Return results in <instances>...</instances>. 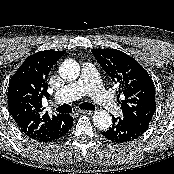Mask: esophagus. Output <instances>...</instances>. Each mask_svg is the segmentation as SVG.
Listing matches in <instances>:
<instances>
[{"label": "esophagus", "mask_w": 174, "mask_h": 174, "mask_svg": "<svg viewBox=\"0 0 174 174\" xmlns=\"http://www.w3.org/2000/svg\"><path fill=\"white\" fill-rule=\"evenodd\" d=\"M79 112L82 114H88V115H91L94 113V111H92V110H79Z\"/></svg>", "instance_id": "esophagus-1"}]
</instances>
